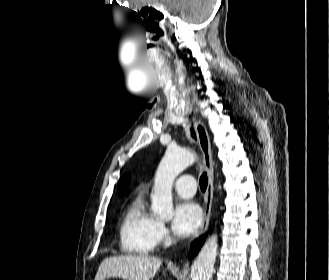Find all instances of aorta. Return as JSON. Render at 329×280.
Wrapping results in <instances>:
<instances>
[{"label": "aorta", "instance_id": "762f6f07", "mask_svg": "<svg viewBox=\"0 0 329 280\" xmlns=\"http://www.w3.org/2000/svg\"><path fill=\"white\" fill-rule=\"evenodd\" d=\"M195 161V155L185 149L168 147L156 171L153 194L151 196L153 212L163 219L174 215L172 186L175 178ZM218 237L212 235L200 250L191 266V280H210L217 257Z\"/></svg>", "mask_w": 329, "mask_h": 280}]
</instances>
